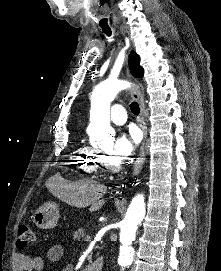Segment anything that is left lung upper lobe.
<instances>
[{
    "label": "left lung upper lobe",
    "instance_id": "5c2ea615",
    "mask_svg": "<svg viewBox=\"0 0 221 271\" xmlns=\"http://www.w3.org/2000/svg\"><path fill=\"white\" fill-rule=\"evenodd\" d=\"M139 61L140 60H139L138 55L134 51H132L129 57V66H130L131 73L135 77L143 76V69L142 67H140Z\"/></svg>",
    "mask_w": 221,
    "mask_h": 271
}]
</instances>
